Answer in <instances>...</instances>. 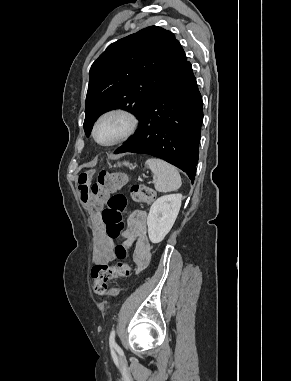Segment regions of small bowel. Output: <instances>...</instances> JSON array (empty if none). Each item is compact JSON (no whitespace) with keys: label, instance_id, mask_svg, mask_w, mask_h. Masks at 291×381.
<instances>
[{"label":"small bowel","instance_id":"1","mask_svg":"<svg viewBox=\"0 0 291 381\" xmlns=\"http://www.w3.org/2000/svg\"><path fill=\"white\" fill-rule=\"evenodd\" d=\"M98 216V212H95ZM148 215L144 210H135L128 218V245L134 244V260L138 270L145 268L151 259V243L147 236ZM115 256V244L104 231L100 230L96 237L94 261L110 263Z\"/></svg>","mask_w":291,"mask_h":381}]
</instances>
